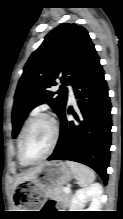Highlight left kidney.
<instances>
[{
  "instance_id": "obj_1",
  "label": "left kidney",
  "mask_w": 123,
  "mask_h": 219,
  "mask_svg": "<svg viewBox=\"0 0 123 219\" xmlns=\"http://www.w3.org/2000/svg\"><path fill=\"white\" fill-rule=\"evenodd\" d=\"M103 188L101 184L94 183L79 189L71 199V211H100ZM87 201H91L88 209H83Z\"/></svg>"
}]
</instances>
